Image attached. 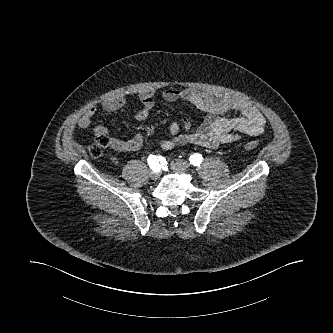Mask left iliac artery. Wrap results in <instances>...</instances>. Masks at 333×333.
Returning <instances> with one entry per match:
<instances>
[{
  "instance_id": "left-iliac-artery-1",
  "label": "left iliac artery",
  "mask_w": 333,
  "mask_h": 333,
  "mask_svg": "<svg viewBox=\"0 0 333 333\" xmlns=\"http://www.w3.org/2000/svg\"><path fill=\"white\" fill-rule=\"evenodd\" d=\"M190 163L193 164L194 166H199L201 162L203 161V157L201 154L196 153L190 156L189 158Z\"/></svg>"
}]
</instances>
